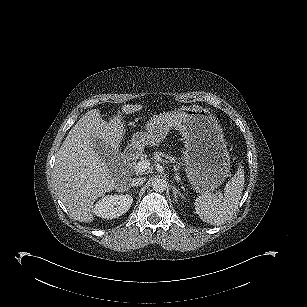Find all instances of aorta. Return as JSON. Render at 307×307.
I'll list each match as a JSON object with an SVG mask.
<instances>
[{
	"label": "aorta",
	"mask_w": 307,
	"mask_h": 307,
	"mask_svg": "<svg viewBox=\"0 0 307 307\" xmlns=\"http://www.w3.org/2000/svg\"><path fill=\"white\" fill-rule=\"evenodd\" d=\"M151 185L155 192H164L167 188V182L162 178H154Z\"/></svg>",
	"instance_id": "1"
}]
</instances>
